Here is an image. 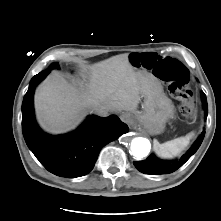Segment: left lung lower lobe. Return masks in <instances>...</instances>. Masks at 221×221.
<instances>
[{"label": "left lung lower lobe", "instance_id": "obj_1", "mask_svg": "<svg viewBox=\"0 0 221 221\" xmlns=\"http://www.w3.org/2000/svg\"><path fill=\"white\" fill-rule=\"evenodd\" d=\"M202 101L207 117L208 106H207L206 95L203 92H202ZM204 135L205 131L201 133V135L194 143V145L191 147V149L185 155H183L178 161H173V162L163 161L156 158L154 155H150L146 160L135 161L134 165L140 172L145 174L159 175V174L172 173L175 170H177L179 167H181L197 151V149L199 148V146L203 141Z\"/></svg>", "mask_w": 221, "mask_h": 221}]
</instances>
